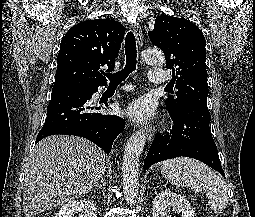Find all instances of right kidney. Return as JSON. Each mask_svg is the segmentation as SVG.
<instances>
[{
    "instance_id": "obj_1",
    "label": "right kidney",
    "mask_w": 255,
    "mask_h": 217,
    "mask_svg": "<svg viewBox=\"0 0 255 217\" xmlns=\"http://www.w3.org/2000/svg\"><path fill=\"white\" fill-rule=\"evenodd\" d=\"M81 212L79 217H97V208L94 202L81 199L71 200L61 207L55 217H73L75 213Z\"/></svg>"
}]
</instances>
